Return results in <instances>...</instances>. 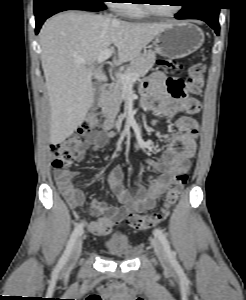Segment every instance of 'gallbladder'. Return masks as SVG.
Masks as SVG:
<instances>
[{"label":"gallbladder","instance_id":"1","mask_svg":"<svg viewBox=\"0 0 246 300\" xmlns=\"http://www.w3.org/2000/svg\"><path fill=\"white\" fill-rule=\"evenodd\" d=\"M94 100L92 104V108L96 109L99 106V100L101 96L100 84L98 82H94Z\"/></svg>","mask_w":246,"mask_h":300}]
</instances>
